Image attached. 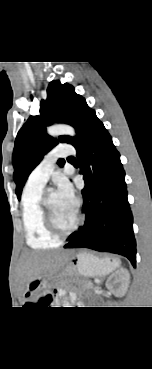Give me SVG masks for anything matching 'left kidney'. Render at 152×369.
Returning <instances> with one entry per match:
<instances>
[{"label": "left kidney", "mask_w": 152, "mask_h": 369, "mask_svg": "<svg viewBox=\"0 0 152 369\" xmlns=\"http://www.w3.org/2000/svg\"><path fill=\"white\" fill-rule=\"evenodd\" d=\"M130 283V274L127 269L121 268L114 272L106 281V287L116 296L122 297L127 292Z\"/></svg>", "instance_id": "5707ae66"}]
</instances>
